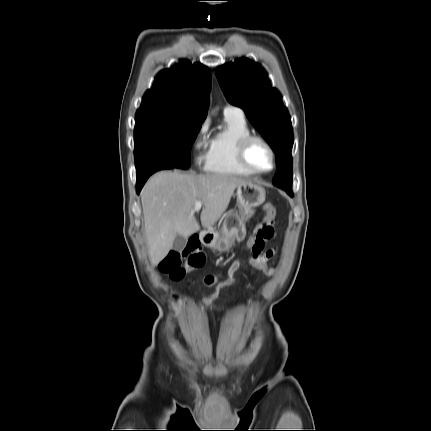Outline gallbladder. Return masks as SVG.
Instances as JSON below:
<instances>
[{"label":"gallbladder","instance_id":"1","mask_svg":"<svg viewBox=\"0 0 431 431\" xmlns=\"http://www.w3.org/2000/svg\"><path fill=\"white\" fill-rule=\"evenodd\" d=\"M187 243V238L182 235H177L173 242V250L176 252H181Z\"/></svg>","mask_w":431,"mask_h":431}]
</instances>
